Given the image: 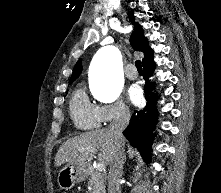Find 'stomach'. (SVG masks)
I'll return each instance as SVG.
<instances>
[{
    "mask_svg": "<svg viewBox=\"0 0 221 193\" xmlns=\"http://www.w3.org/2000/svg\"><path fill=\"white\" fill-rule=\"evenodd\" d=\"M88 174L85 166L67 164L57 176V182L61 189L70 190L76 183L83 181Z\"/></svg>",
    "mask_w": 221,
    "mask_h": 193,
    "instance_id": "1",
    "label": "stomach"
}]
</instances>
